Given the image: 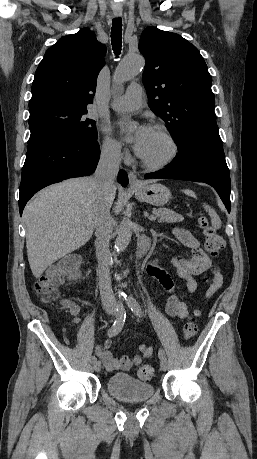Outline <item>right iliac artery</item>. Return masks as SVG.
Returning <instances> with one entry per match:
<instances>
[{
    "label": "right iliac artery",
    "instance_id": "1",
    "mask_svg": "<svg viewBox=\"0 0 257 459\" xmlns=\"http://www.w3.org/2000/svg\"><path fill=\"white\" fill-rule=\"evenodd\" d=\"M117 314H116V320L114 321L113 325L111 328L108 330V336L113 337L116 336L123 328L125 318H126V312L124 309V306L122 303H119L117 305ZM97 361V358L95 356L91 357V362L94 363Z\"/></svg>",
    "mask_w": 257,
    "mask_h": 459
}]
</instances>
